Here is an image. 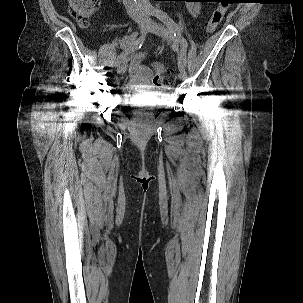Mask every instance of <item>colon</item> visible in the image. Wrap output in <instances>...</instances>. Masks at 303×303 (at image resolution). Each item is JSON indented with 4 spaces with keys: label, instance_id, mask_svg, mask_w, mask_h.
Instances as JSON below:
<instances>
[{
    "label": "colon",
    "instance_id": "5ec220e1",
    "mask_svg": "<svg viewBox=\"0 0 303 303\" xmlns=\"http://www.w3.org/2000/svg\"><path fill=\"white\" fill-rule=\"evenodd\" d=\"M68 5L71 13L77 18L82 26L88 24L89 18L97 10L99 0H68ZM228 8L227 0H218L217 7L213 10L210 18L206 23L208 33L213 32L221 23L225 12ZM175 81L174 72L164 66L156 65L154 68V83L158 87H169Z\"/></svg>",
    "mask_w": 303,
    "mask_h": 303
}]
</instances>
